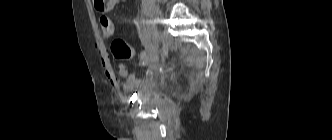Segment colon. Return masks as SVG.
<instances>
[{
    "label": "colon",
    "mask_w": 332,
    "mask_h": 140,
    "mask_svg": "<svg viewBox=\"0 0 332 140\" xmlns=\"http://www.w3.org/2000/svg\"><path fill=\"white\" fill-rule=\"evenodd\" d=\"M118 0H94V6L98 11H105ZM100 29L104 36L110 37L114 33V24L107 15L100 17ZM111 52L117 59H130L133 56L132 48L123 40L115 39L111 44Z\"/></svg>",
    "instance_id": "obj_1"
}]
</instances>
